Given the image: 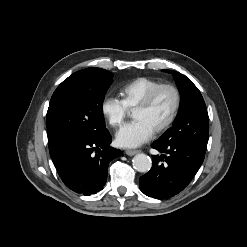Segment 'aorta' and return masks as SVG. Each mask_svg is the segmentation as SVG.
<instances>
[{"mask_svg":"<svg viewBox=\"0 0 247 247\" xmlns=\"http://www.w3.org/2000/svg\"><path fill=\"white\" fill-rule=\"evenodd\" d=\"M133 166L137 171L146 173L151 169L152 161L146 154H137L133 158Z\"/></svg>","mask_w":247,"mask_h":247,"instance_id":"obj_1","label":"aorta"}]
</instances>
